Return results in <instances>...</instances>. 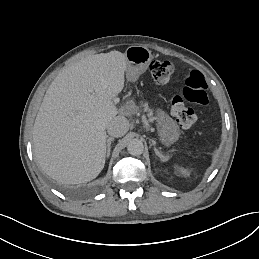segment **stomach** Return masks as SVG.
Wrapping results in <instances>:
<instances>
[{
    "instance_id": "1",
    "label": "stomach",
    "mask_w": 259,
    "mask_h": 259,
    "mask_svg": "<svg viewBox=\"0 0 259 259\" xmlns=\"http://www.w3.org/2000/svg\"><path fill=\"white\" fill-rule=\"evenodd\" d=\"M129 63L125 66L124 76L128 84H135L143 75V68L152 60L151 51L144 46H130L125 51Z\"/></svg>"
}]
</instances>
